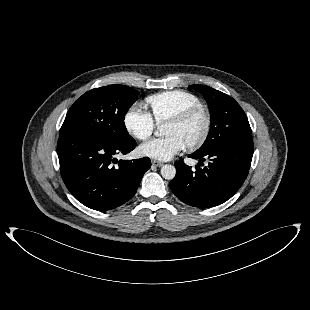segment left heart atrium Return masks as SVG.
Returning <instances> with one entry per match:
<instances>
[{
  "mask_svg": "<svg viewBox=\"0 0 310 310\" xmlns=\"http://www.w3.org/2000/svg\"><path fill=\"white\" fill-rule=\"evenodd\" d=\"M185 147L183 141L176 135L164 138L152 139L140 147L144 156L167 161L179 153Z\"/></svg>",
  "mask_w": 310,
  "mask_h": 310,
  "instance_id": "39dd6f15",
  "label": "left heart atrium"
}]
</instances>
